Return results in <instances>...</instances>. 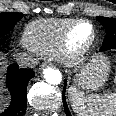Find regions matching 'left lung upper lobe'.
Instances as JSON below:
<instances>
[{
  "label": "left lung upper lobe",
  "instance_id": "1",
  "mask_svg": "<svg viewBox=\"0 0 116 116\" xmlns=\"http://www.w3.org/2000/svg\"><path fill=\"white\" fill-rule=\"evenodd\" d=\"M97 20L104 26L106 30V37L101 49L107 50L116 48V18L98 16Z\"/></svg>",
  "mask_w": 116,
  "mask_h": 116
}]
</instances>
